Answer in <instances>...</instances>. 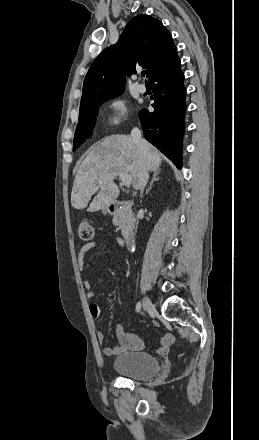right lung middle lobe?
I'll return each instance as SVG.
<instances>
[{
	"mask_svg": "<svg viewBox=\"0 0 259 440\" xmlns=\"http://www.w3.org/2000/svg\"><path fill=\"white\" fill-rule=\"evenodd\" d=\"M123 91L116 92L110 96L93 101L79 110L78 126L74 135L73 151H75L87 138L91 136L96 122V115L99 107L107 100L122 94Z\"/></svg>",
	"mask_w": 259,
	"mask_h": 440,
	"instance_id": "obj_1",
	"label": "right lung middle lobe"
}]
</instances>
